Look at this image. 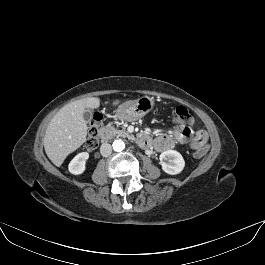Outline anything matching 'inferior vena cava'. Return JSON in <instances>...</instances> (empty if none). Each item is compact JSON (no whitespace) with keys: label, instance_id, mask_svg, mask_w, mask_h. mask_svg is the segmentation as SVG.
I'll return each mask as SVG.
<instances>
[{"label":"inferior vena cava","instance_id":"1","mask_svg":"<svg viewBox=\"0 0 265 265\" xmlns=\"http://www.w3.org/2000/svg\"><path fill=\"white\" fill-rule=\"evenodd\" d=\"M100 153L103 157H108L112 153V146L108 143H103L100 147Z\"/></svg>","mask_w":265,"mask_h":265}]
</instances>
